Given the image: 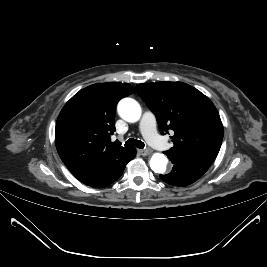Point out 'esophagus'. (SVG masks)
Masks as SVG:
<instances>
[{
	"label": "esophagus",
	"mask_w": 267,
	"mask_h": 267,
	"mask_svg": "<svg viewBox=\"0 0 267 267\" xmlns=\"http://www.w3.org/2000/svg\"><path fill=\"white\" fill-rule=\"evenodd\" d=\"M139 152L143 156L149 155L151 153V151L150 150H147V149H141V150H139Z\"/></svg>",
	"instance_id": "esophagus-1"
}]
</instances>
